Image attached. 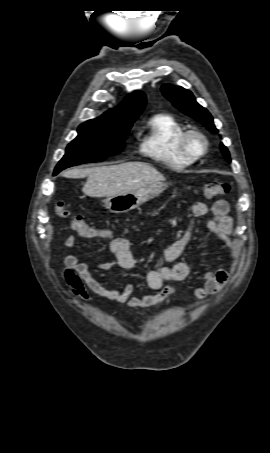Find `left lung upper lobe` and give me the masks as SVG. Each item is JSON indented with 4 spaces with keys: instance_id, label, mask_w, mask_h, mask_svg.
Segmentation results:
<instances>
[{
    "instance_id": "1",
    "label": "left lung upper lobe",
    "mask_w": 270,
    "mask_h": 453,
    "mask_svg": "<svg viewBox=\"0 0 270 453\" xmlns=\"http://www.w3.org/2000/svg\"><path fill=\"white\" fill-rule=\"evenodd\" d=\"M163 95L171 101L184 114L194 118L205 125L212 133H217L211 114L199 105L193 94L180 86L165 84L162 86ZM221 151L225 158L230 162V154L227 148L221 144Z\"/></svg>"
}]
</instances>
